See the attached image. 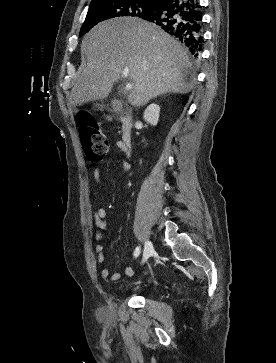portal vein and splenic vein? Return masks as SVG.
I'll return each instance as SVG.
<instances>
[{"label":"portal vein and splenic vein","mask_w":276,"mask_h":363,"mask_svg":"<svg viewBox=\"0 0 276 363\" xmlns=\"http://www.w3.org/2000/svg\"><path fill=\"white\" fill-rule=\"evenodd\" d=\"M126 77H127V75H126ZM132 88H133L132 84H130V83L126 84V87H125L126 90H131Z\"/></svg>","instance_id":"1"}]
</instances>
